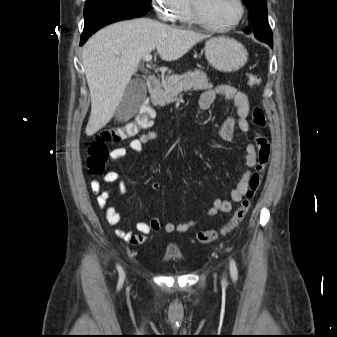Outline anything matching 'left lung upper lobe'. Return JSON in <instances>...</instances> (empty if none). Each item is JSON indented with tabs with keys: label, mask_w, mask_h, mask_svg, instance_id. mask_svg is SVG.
Listing matches in <instances>:
<instances>
[{
	"label": "left lung upper lobe",
	"mask_w": 337,
	"mask_h": 337,
	"mask_svg": "<svg viewBox=\"0 0 337 337\" xmlns=\"http://www.w3.org/2000/svg\"><path fill=\"white\" fill-rule=\"evenodd\" d=\"M249 9V22L251 28L245 29V33L252 30L257 39L262 41H273L272 31L268 24L267 5L265 0H242Z\"/></svg>",
	"instance_id": "left-lung-upper-lobe-1"
}]
</instances>
